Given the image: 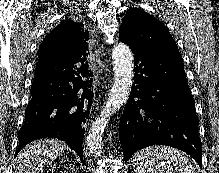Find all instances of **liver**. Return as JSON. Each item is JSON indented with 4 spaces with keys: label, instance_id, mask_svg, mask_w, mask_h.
<instances>
[{
    "label": "liver",
    "instance_id": "obj_1",
    "mask_svg": "<svg viewBox=\"0 0 219 173\" xmlns=\"http://www.w3.org/2000/svg\"><path fill=\"white\" fill-rule=\"evenodd\" d=\"M68 146L60 140L41 139L27 145L18 155L15 173H36L50 165Z\"/></svg>",
    "mask_w": 219,
    "mask_h": 173
}]
</instances>
